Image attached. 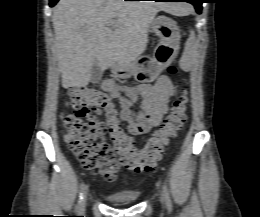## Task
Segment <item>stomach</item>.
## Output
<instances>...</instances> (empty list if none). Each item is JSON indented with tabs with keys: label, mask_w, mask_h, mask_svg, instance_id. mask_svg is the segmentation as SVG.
Wrapping results in <instances>:
<instances>
[{
	"label": "stomach",
	"mask_w": 260,
	"mask_h": 217,
	"mask_svg": "<svg viewBox=\"0 0 260 217\" xmlns=\"http://www.w3.org/2000/svg\"><path fill=\"white\" fill-rule=\"evenodd\" d=\"M151 29L160 39L153 56L140 57L128 66L118 63L114 67L117 77L127 79L133 76L139 83H150L177 57L179 31L176 23L166 16H159L153 20Z\"/></svg>",
	"instance_id": "1"
}]
</instances>
